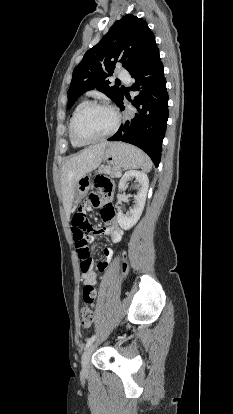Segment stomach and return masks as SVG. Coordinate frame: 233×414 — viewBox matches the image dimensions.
<instances>
[{"mask_svg": "<svg viewBox=\"0 0 233 414\" xmlns=\"http://www.w3.org/2000/svg\"><path fill=\"white\" fill-rule=\"evenodd\" d=\"M144 153L138 148L125 143H110L103 156L108 167H117L124 169L139 168L144 162ZM90 177L88 173L82 174V179L78 180L75 187L74 204H77L87 193Z\"/></svg>", "mask_w": 233, "mask_h": 414, "instance_id": "0dacf381", "label": "stomach"}]
</instances>
